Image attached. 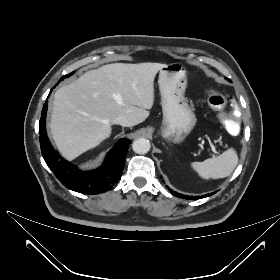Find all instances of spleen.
Masks as SVG:
<instances>
[{"mask_svg":"<svg viewBox=\"0 0 280 280\" xmlns=\"http://www.w3.org/2000/svg\"><path fill=\"white\" fill-rule=\"evenodd\" d=\"M238 162V156L230 148L217 157L208 158L203 162H193V169L204 179H220L229 176Z\"/></svg>","mask_w":280,"mask_h":280,"instance_id":"1","label":"spleen"}]
</instances>
